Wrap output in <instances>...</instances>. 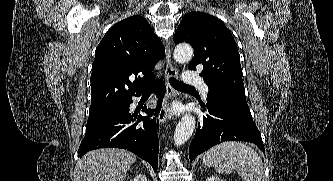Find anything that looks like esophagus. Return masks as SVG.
I'll use <instances>...</instances> for the list:
<instances>
[{
  "instance_id": "1",
  "label": "esophagus",
  "mask_w": 333,
  "mask_h": 181,
  "mask_svg": "<svg viewBox=\"0 0 333 181\" xmlns=\"http://www.w3.org/2000/svg\"><path fill=\"white\" fill-rule=\"evenodd\" d=\"M175 76H177V68L172 61L171 46H170V42H168L167 46H166V69L164 72V79H165L166 86H167L168 98L175 96V91L171 87L170 81H169V79L171 77H175ZM171 117H172V114L170 112L169 101H166L159 113L158 119H159L160 123H163V122L167 121L168 119H170Z\"/></svg>"
}]
</instances>
